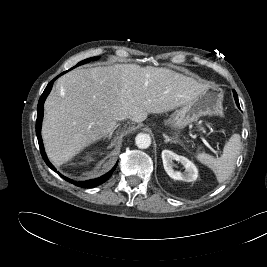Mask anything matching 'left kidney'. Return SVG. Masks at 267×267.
<instances>
[{
  "instance_id": "5707ae66",
  "label": "left kidney",
  "mask_w": 267,
  "mask_h": 267,
  "mask_svg": "<svg viewBox=\"0 0 267 267\" xmlns=\"http://www.w3.org/2000/svg\"><path fill=\"white\" fill-rule=\"evenodd\" d=\"M162 160H163V166H164L165 171L172 179L181 180L185 182H191L197 179L198 169L194 165V163L191 162L186 157L179 156L170 150H163ZM174 160L180 162L185 167L184 172H179V171L174 170L173 168Z\"/></svg>"
}]
</instances>
